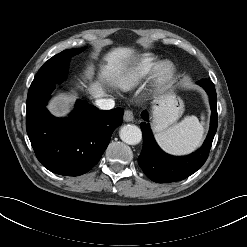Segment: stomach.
Masks as SVG:
<instances>
[{
	"label": "stomach",
	"instance_id": "0dacf381",
	"mask_svg": "<svg viewBox=\"0 0 247 247\" xmlns=\"http://www.w3.org/2000/svg\"><path fill=\"white\" fill-rule=\"evenodd\" d=\"M183 111L184 103L176 95V87L169 84L154 100L152 107L154 131L166 130L181 116Z\"/></svg>",
	"mask_w": 247,
	"mask_h": 247
}]
</instances>
